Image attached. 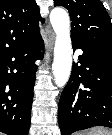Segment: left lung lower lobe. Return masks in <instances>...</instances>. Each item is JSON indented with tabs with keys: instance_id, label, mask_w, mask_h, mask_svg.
Instances as JSON below:
<instances>
[{
	"instance_id": "left-lung-lower-lobe-1",
	"label": "left lung lower lobe",
	"mask_w": 112,
	"mask_h": 135,
	"mask_svg": "<svg viewBox=\"0 0 112 135\" xmlns=\"http://www.w3.org/2000/svg\"><path fill=\"white\" fill-rule=\"evenodd\" d=\"M72 44L83 54L59 101L61 135L94 126L112 128V50L74 41Z\"/></svg>"
}]
</instances>
